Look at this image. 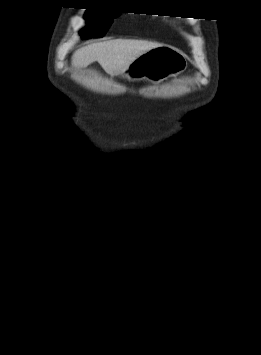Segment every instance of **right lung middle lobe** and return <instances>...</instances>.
Wrapping results in <instances>:
<instances>
[{
	"label": "right lung middle lobe",
	"mask_w": 261,
	"mask_h": 355,
	"mask_svg": "<svg viewBox=\"0 0 261 355\" xmlns=\"http://www.w3.org/2000/svg\"><path fill=\"white\" fill-rule=\"evenodd\" d=\"M120 13L106 14L100 10L95 11L89 9L86 12L85 18L90 21L89 26L81 31L82 38H99L103 37L113 22V18Z\"/></svg>",
	"instance_id": "1"
}]
</instances>
